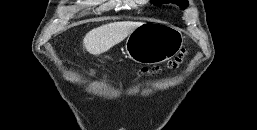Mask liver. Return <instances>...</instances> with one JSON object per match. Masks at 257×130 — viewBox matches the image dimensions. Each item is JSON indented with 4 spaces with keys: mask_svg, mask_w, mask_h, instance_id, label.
Masks as SVG:
<instances>
[{
    "mask_svg": "<svg viewBox=\"0 0 257 130\" xmlns=\"http://www.w3.org/2000/svg\"><path fill=\"white\" fill-rule=\"evenodd\" d=\"M141 22H114L89 31L83 39V46L93 55H99L123 41Z\"/></svg>",
    "mask_w": 257,
    "mask_h": 130,
    "instance_id": "6515ba94",
    "label": "liver"
}]
</instances>
